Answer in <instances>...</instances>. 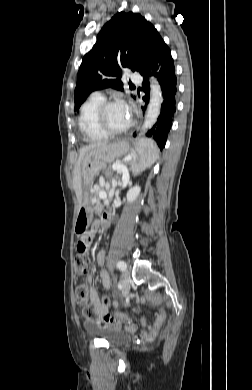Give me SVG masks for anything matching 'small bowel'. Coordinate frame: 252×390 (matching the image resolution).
Wrapping results in <instances>:
<instances>
[{
	"label": "small bowel",
	"mask_w": 252,
	"mask_h": 390,
	"mask_svg": "<svg viewBox=\"0 0 252 390\" xmlns=\"http://www.w3.org/2000/svg\"><path fill=\"white\" fill-rule=\"evenodd\" d=\"M109 218H110L109 213L108 212H104L102 214V216H101V219L95 221L92 224V227H91L90 231L87 233V235L86 236H82L80 238V240L78 241V243L76 245V249H77L78 252L81 251V249L79 247V243L82 240L87 239V241H88L87 245H88L90 243L91 239L93 238V236L99 230H105L108 227V225H109ZM104 257H105V252L102 250L97 255V262L99 264H102L103 261H104ZM100 277H101L102 284H103L104 288L106 290H110V288H111V281H110V277H109L108 272L105 271V270H102L100 272ZM88 283H89V299H90V303L94 307L98 317L101 318V317H103V316H105V315H107L109 313V306H107V305H105L103 303V298H100L97 290L91 285V279L90 278L88 279ZM158 319L163 321L164 320V314H161ZM125 323L128 324L130 328H136V324H135L133 318H131L130 316L125 315ZM87 324H90V319L87 321Z\"/></svg>",
	"instance_id": "1"
}]
</instances>
